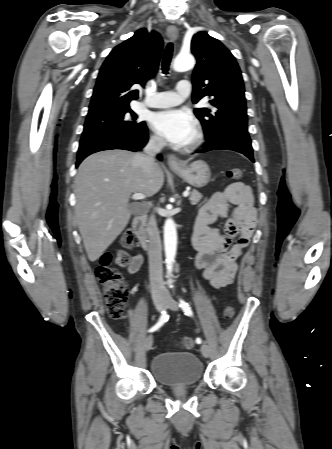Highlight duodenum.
I'll list each match as a JSON object with an SVG mask.
<instances>
[{
    "instance_id": "duodenum-1",
    "label": "duodenum",
    "mask_w": 332,
    "mask_h": 449,
    "mask_svg": "<svg viewBox=\"0 0 332 449\" xmlns=\"http://www.w3.org/2000/svg\"><path fill=\"white\" fill-rule=\"evenodd\" d=\"M146 219V213H142L136 216L132 222V232L138 238L141 246L145 249L148 247V234L145 229Z\"/></svg>"
}]
</instances>
